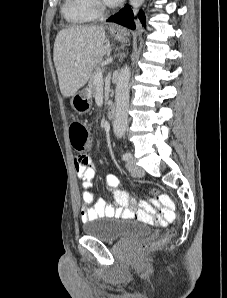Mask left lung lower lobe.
<instances>
[{
  "mask_svg": "<svg viewBox=\"0 0 227 298\" xmlns=\"http://www.w3.org/2000/svg\"><path fill=\"white\" fill-rule=\"evenodd\" d=\"M139 19L145 25V15L142 11L134 15L129 5H126L117 14L107 19L108 22H115L130 29H135L134 20Z\"/></svg>",
  "mask_w": 227,
  "mask_h": 298,
  "instance_id": "1",
  "label": "left lung lower lobe"
}]
</instances>
